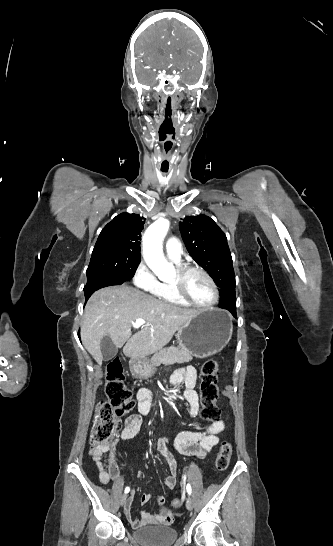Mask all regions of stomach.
Returning <instances> with one entry per match:
<instances>
[{"mask_svg":"<svg viewBox=\"0 0 333 546\" xmlns=\"http://www.w3.org/2000/svg\"><path fill=\"white\" fill-rule=\"evenodd\" d=\"M232 319L221 309L200 311L194 318L180 326L176 335L179 345L196 358H207L220 352L230 341ZM130 371L135 378L147 379L155 367L147 358L131 359Z\"/></svg>","mask_w":333,"mask_h":546,"instance_id":"obj_1","label":"stomach"}]
</instances>
